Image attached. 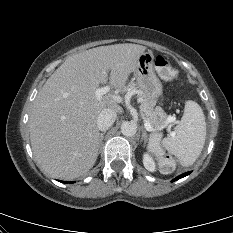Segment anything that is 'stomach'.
<instances>
[{"label": "stomach", "mask_w": 233, "mask_h": 233, "mask_svg": "<svg viewBox=\"0 0 233 233\" xmlns=\"http://www.w3.org/2000/svg\"><path fill=\"white\" fill-rule=\"evenodd\" d=\"M153 63L154 56L151 51L142 53L139 56L138 65L134 71V77L143 96L156 104L158 98L162 94L163 86L154 72Z\"/></svg>", "instance_id": "stomach-1"}]
</instances>
